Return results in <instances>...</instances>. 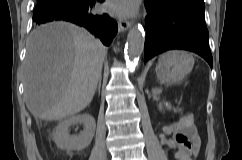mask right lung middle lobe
<instances>
[{
    "instance_id": "dd1d6c3e",
    "label": "right lung middle lobe",
    "mask_w": 242,
    "mask_h": 160,
    "mask_svg": "<svg viewBox=\"0 0 242 160\" xmlns=\"http://www.w3.org/2000/svg\"><path fill=\"white\" fill-rule=\"evenodd\" d=\"M45 1H47V0H38V3L45 2Z\"/></svg>"
}]
</instances>
